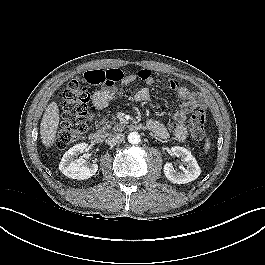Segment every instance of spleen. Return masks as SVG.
Masks as SVG:
<instances>
[{
    "label": "spleen",
    "mask_w": 265,
    "mask_h": 265,
    "mask_svg": "<svg viewBox=\"0 0 265 265\" xmlns=\"http://www.w3.org/2000/svg\"><path fill=\"white\" fill-rule=\"evenodd\" d=\"M209 148H210V141L209 139H207L205 143V150L208 151Z\"/></svg>",
    "instance_id": "3e777b00"
}]
</instances>
